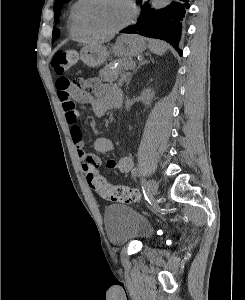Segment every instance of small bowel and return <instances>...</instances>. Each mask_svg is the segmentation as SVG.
Returning a JSON list of instances; mask_svg holds the SVG:
<instances>
[{"label":"small bowel","instance_id":"1","mask_svg":"<svg viewBox=\"0 0 245 300\" xmlns=\"http://www.w3.org/2000/svg\"><path fill=\"white\" fill-rule=\"evenodd\" d=\"M56 89L84 173L87 177L90 174H99L101 160L96 153H112L115 145L109 138L98 137L94 141L96 153L85 150L82 130L77 124L79 113L76 109V102L89 104L91 113L96 117H102L109 109L117 107V96L122 95L120 90L116 86L103 83L98 78L87 79L82 81L79 86H73L65 77L58 78ZM107 167L126 174L132 170L133 161L129 156H122L118 160H109Z\"/></svg>","mask_w":245,"mask_h":300}]
</instances>
